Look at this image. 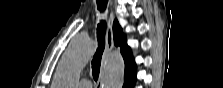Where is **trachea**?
I'll return each mask as SVG.
<instances>
[{
    "instance_id": "1",
    "label": "trachea",
    "mask_w": 223,
    "mask_h": 88,
    "mask_svg": "<svg viewBox=\"0 0 223 88\" xmlns=\"http://www.w3.org/2000/svg\"><path fill=\"white\" fill-rule=\"evenodd\" d=\"M96 2L99 11H104L106 9L107 0H96ZM105 27L106 23L103 20L97 27L98 48L92 60V74L95 81H97L100 73L101 59L105 48Z\"/></svg>"
}]
</instances>
